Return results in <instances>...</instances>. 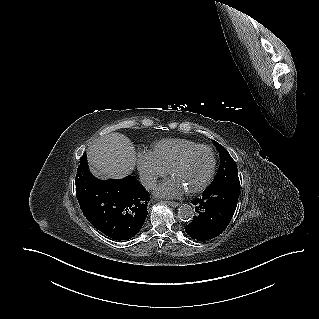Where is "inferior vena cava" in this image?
<instances>
[{"mask_svg": "<svg viewBox=\"0 0 319 319\" xmlns=\"http://www.w3.org/2000/svg\"><path fill=\"white\" fill-rule=\"evenodd\" d=\"M140 181L146 189H152L156 185V179L152 176H142Z\"/></svg>", "mask_w": 319, "mask_h": 319, "instance_id": "inferior-vena-cava-1", "label": "inferior vena cava"}]
</instances>
